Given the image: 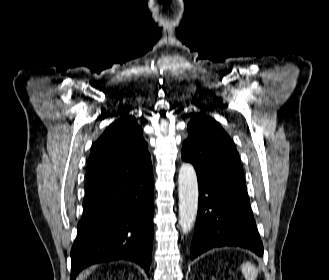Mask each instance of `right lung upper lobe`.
Returning <instances> with one entry per match:
<instances>
[{
	"instance_id": "right-lung-upper-lobe-1",
	"label": "right lung upper lobe",
	"mask_w": 329,
	"mask_h": 280,
	"mask_svg": "<svg viewBox=\"0 0 329 280\" xmlns=\"http://www.w3.org/2000/svg\"><path fill=\"white\" fill-rule=\"evenodd\" d=\"M143 131L133 116L112 123L93 144L87 182L117 174L144 173L152 169Z\"/></svg>"
}]
</instances>
